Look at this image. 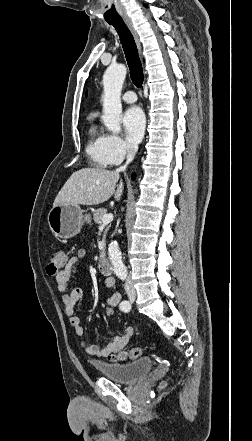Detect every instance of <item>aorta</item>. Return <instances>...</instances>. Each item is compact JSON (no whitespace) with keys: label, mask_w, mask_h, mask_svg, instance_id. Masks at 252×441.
<instances>
[{"label":"aorta","mask_w":252,"mask_h":441,"mask_svg":"<svg viewBox=\"0 0 252 441\" xmlns=\"http://www.w3.org/2000/svg\"><path fill=\"white\" fill-rule=\"evenodd\" d=\"M127 69L122 64L109 66L103 76V116L102 120L105 127L112 133H119L120 117L122 113L121 91L126 78ZM108 256L113 266L115 274L124 277L127 274L119 250L118 243L113 241L108 248Z\"/></svg>","instance_id":"obj_1"}]
</instances>
